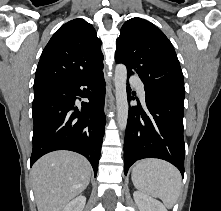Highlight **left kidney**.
I'll list each match as a JSON object with an SVG mask.
<instances>
[{
  "instance_id": "obj_1",
  "label": "left kidney",
  "mask_w": 221,
  "mask_h": 211,
  "mask_svg": "<svg viewBox=\"0 0 221 211\" xmlns=\"http://www.w3.org/2000/svg\"><path fill=\"white\" fill-rule=\"evenodd\" d=\"M133 197L139 211H167L165 206L160 201L142 192L135 191L133 193Z\"/></svg>"
}]
</instances>
